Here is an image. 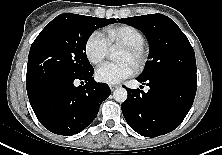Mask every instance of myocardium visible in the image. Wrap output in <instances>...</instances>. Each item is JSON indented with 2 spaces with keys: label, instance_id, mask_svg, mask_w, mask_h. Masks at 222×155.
Here are the masks:
<instances>
[{
  "label": "myocardium",
  "instance_id": "myocardium-1",
  "mask_svg": "<svg viewBox=\"0 0 222 155\" xmlns=\"http://www.w3.org/2000/svg\"><path fill=\"white\" fill-rule=\"evenodd\" d=\"M123 49L135 59L134 67L137 71L145 68L149 59V53L144 45L124 46Z\"/></svg>",
  "mask_w": 222,
  "mask_h": 155
}]
</instances>
